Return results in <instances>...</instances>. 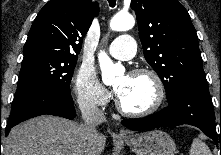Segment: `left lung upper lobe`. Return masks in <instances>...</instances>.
I'll return each instance as SVG.
<instances>
[{"mask_svg":"<svg viewBox=\"0 0 221 155\" xmlns=\"http://www.w3.org/2000/svg\"><path fill=\"white\" fill-rule=\"evenodd\" d=\"M144 56L161 78L168 102L186 87L207 83L198 37L177 0H132Z\"/></svg>","mask_w":221,"mask_h":155,"instance_id":"obj_1","label":"left lung upper lobe"}]
</instances>
